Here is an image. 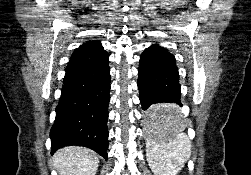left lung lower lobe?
Listing matches in <instances>:
<instances>
[{"mask_svg": "<svg viewBox=\"0 0 251 175\" xmlns=\"http://www.w3.org/2000/svg\"><path fill=\"white\" fill-rule=\"evenodd\" d=\"M138 89L146 123L162 124L178 118V106H182L178 68L175 57L163 47L152 45L142 53Z\"/></svg>", "mask_w": 251, "mask_h": 175, "instance_id": "left-lung-lower-lobe-1", "label": "left lung lower lobe"}]
</instances>
